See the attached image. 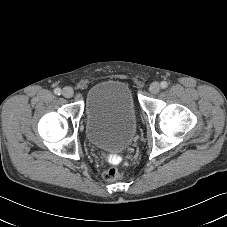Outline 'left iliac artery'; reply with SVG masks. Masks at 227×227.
Segmentation results:
<instances>
[{
    "instance_id": "obj_1",
    "label": "left iliac artery",
    "mask_w": 227,
    "mask_h": 227,
    "mask_svg": "<svg viewBox=\"0 0 227 227\" xmlns=\"http://www.w3.org/2000/svg\"><path fill=\"white\" fill-rule=\"evenodd\" d=\"M160 85L163 89L168 87V83L166 81H162Z\"/></svg>"
}]
</instances>
